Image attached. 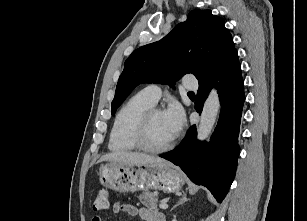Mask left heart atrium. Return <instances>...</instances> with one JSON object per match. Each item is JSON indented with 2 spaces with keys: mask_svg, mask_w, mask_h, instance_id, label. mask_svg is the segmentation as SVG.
Wrapping results in <instances>:
<instances>
[{
  "mask_svg": "<svg viewBox=\"0 0 307 221\" xmlns=\"http://www.w3.org/2000/svg\"><path fill=\"white\" fill-rule=\"evenodd\" d=\"M164 113L170 126L172 135L175 137L181 131L184 125V111L178 103H173Z\"/></svg>",
  "mask_w": 307,
  "mask_h": 221,
  "instance_id": "left-heart-atrium-1",
  "label": "left heart atrium"
}]
</instances>
